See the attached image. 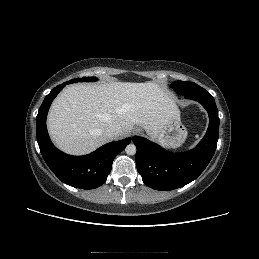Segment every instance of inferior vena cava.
<instances>
[{
  "mask_svg": "<svg viewBox=\"0 0 259 259\" xmlns=\"http://www.w3.org/2000/svg\"><path fill=\"white\" fill-rule=\"evenodd\" d=\"M122 130L119 125H110L106 130H105V135L107 138L110 140L117 139L119 135L121 134Z\"/></svg>",
  "mask_w": 259,
  "mask_h": 259,
  "instance_id": "602c4592",
  "label": "inferior vena cava"
}]
</instances>
